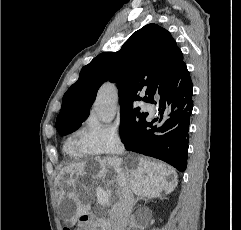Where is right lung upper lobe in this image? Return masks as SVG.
<instances>
[{
  "mask_svg": "<svg viewBox=\"0 0 241 230\" xmlns=\"http://www.w3.org/2000/svg\"><path fill=\"white\" fill-rule=\"evenodd\" d=\"M182 63L183 54L166 29L157 24L144 26L119 51L101 53L82 68L78 81L64 94L56 129L80 125L103 82H116L121 108L129 107L134 100L147 102L161 80Z\"/></svg>",
  "mask_w": 241,
  "mask_h": 230,
  "instance_id": "obj_1",
  "label": "right lung upper lobe"
}]
</instances>
